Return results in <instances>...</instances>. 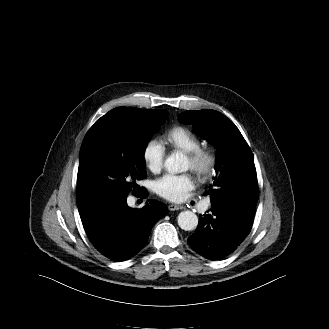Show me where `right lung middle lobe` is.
I'll return each mask as SVG.
<instances>
[{"label": "right lung middle lobe", "mask_w": 329, "mask_h": 329, "mask_svg": "<svg viewBox=\"0 0 329 329\" xmlns=\"http://www.w3.org/2000/svg\"><path fill=\"white\" fill-rule=\"evenodd\" d=\"M166 115V110L144 114L118 107L98 119L80 150L79 202L102 192L135 194L136 182L146 177V146Z\"/></svg>", "instance_id": "1"}]
</instances>
